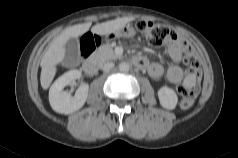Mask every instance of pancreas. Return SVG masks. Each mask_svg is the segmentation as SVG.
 Returning a JSON list of instances; mask_svg holds the SVG:
<instances>
[{"label": "pancreas", "instance_id": "1", "mask_svg": "<svg viewBox=\"0 0 238 158\" xmlns=\"http://www.w3.org/2000/svg\"><path fill=\"white\" fill-rule=\"evenodd\" d=\"M121 57L122 56L117 55L114 52L113 48L108 44L102 45L92 54V58L98 61L99 63H103L109 60H115Z\"/></svg>", "mask_w": 238, "mask_h": 158}]
</instances>
